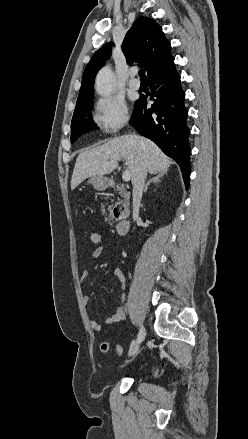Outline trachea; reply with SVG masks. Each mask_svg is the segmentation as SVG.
Here are the masks:
<instances>
[{"instance_id": "1", "label": "trachea", "mask_w": 248, "mask_h": 439, "mask_svg": "<svg viewBox=\"0 0 248 439\" xmlns=\"http://www.w3.org/2000/svg\"><path fill=\"white\" fill-rule=\"evenodd\" d=\"M141 80H147L144 69H140L138 72Z\"/></svg>"}]
</instances>
